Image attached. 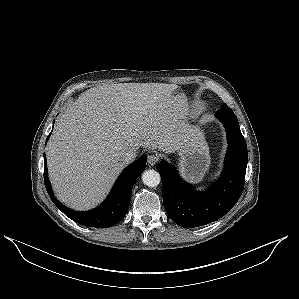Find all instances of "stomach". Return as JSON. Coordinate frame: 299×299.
Wrapping results in <instances>:
<instances>
[{"label": "stomach", "instance_id": "1", "mask_svg": "<svg viewBox=\"0 0 299 299\" xmlns=\"http://www.w3.org/2000/svg\"><path fill=\"white\" fill-rule=\"evenodd\" d=\"M209 148L202 132L192 129L190 142L179 152L181 175L190 183L202 181L210 166Z\"/></svg>", "mask_w": 299, "mask_h": 299}]
</instances>
